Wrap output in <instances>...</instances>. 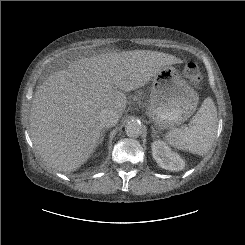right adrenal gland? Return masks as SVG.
<instances>
[{
    "mask_svg": "<svg viewBox=\"0 0 245 245\" xmlns=\"http://www.w3.org/2000/svg\"><path fill=\"white\" fill-rule=\"evenodd\" d=\"M104 136H105V129L102 130L101 137H100V140H99L100 144L102 143V141L104 139Z\"/></svg>",
    "mask_w": 245,
    "mask_h": 245,
    "instance_id": "1",
    "label": "right adrenal gland"
}]
</instances>
